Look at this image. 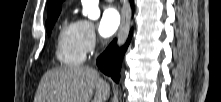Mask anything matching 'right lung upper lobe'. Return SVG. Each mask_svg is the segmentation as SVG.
I'll use <instances>...</instances> for the list:
<instances>
[{"instance_id":"1","label":"right lung upper lobe","mask_w":221,"mask_h":102,"mask_svg":"<svg viewBox=\"0 0 221 102\" xmlns=\"http://www.w3.org/2000/svg\"><path fill=\"white\" fill-rule=\"evenodd\" d=\"M63 0H48L47 17L60 10V5Z\"/></svg>"}]
</instances>
